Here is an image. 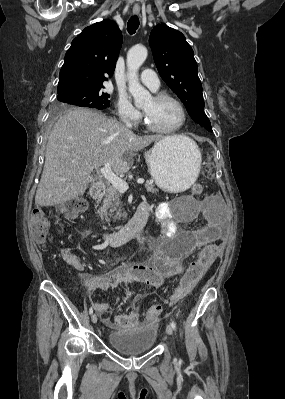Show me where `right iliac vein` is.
Wrapping results in <instances>:
<instances>
[{
  "mask_svg": "<svg viewBox=\"0 0 285 399\" xmlns=\"http://www.w3.org/2000/svg\"><path fill=\"white\" fill-rule=\"evenodd\" d=\"M97 319H98V318H97V315H96V314H93L92 317H91L92 322H93V323H96V322H97Z\"/></svg>",
  "mask_w": 285,
  "mask_h": 399,
  "instance_id": "63e3f726",
  "label": "right iliac vein"
}]
</instances>
